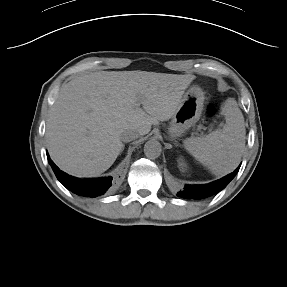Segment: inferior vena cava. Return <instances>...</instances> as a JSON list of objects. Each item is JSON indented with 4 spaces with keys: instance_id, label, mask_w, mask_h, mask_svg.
Segmentation results:
<instances>
[{
    "instance_id": "1",
    "label": "inferior vena cava",
    "mask_w": 287,
    "mask_h": 287,
    "mask_svg": "<svg viewBox=\"0 0 287 287\" xmlns=\"http://www.w3.org/2000/svg\"><path fill=\"white\" fill-rule=\"evenodd\" d=\"M140 135V132H138L135 129H127L121 134V140L123 142H130L136 138H138Z\"/></svg>"
}]
</instances>
